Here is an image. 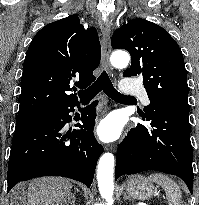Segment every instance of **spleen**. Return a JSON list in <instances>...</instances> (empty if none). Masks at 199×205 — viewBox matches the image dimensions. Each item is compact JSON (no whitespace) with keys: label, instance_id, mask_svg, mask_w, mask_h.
Wrapping results in <instances>:
<instances>
[{"label":"spleen","instance_id":"obj_1","mask_svg":"<svg viewBox=\"0 0 199 205\" xmlns=\"http://www.w3.org/2000/svg\"><path fill=\"white\" fill-rule=\"evenodd\" d=\"M148 179L162 186L165 190L169 205H179L181 200V191L179 186L168 176L161 173L151 174Z\"/></svg>","mask_w":199,"mask_h":205}]
</instances>
